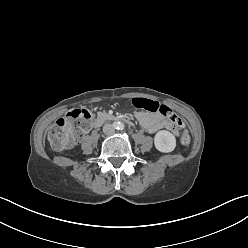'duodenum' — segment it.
<instances>
[{
  "label": "duodenum",
  "instance_id": "obj_1",
  "mask_svg": "<svg viewBox=\"0 0 248 248\" xmlns=\"http://www.w3.org/2000/svg\"><path fill=\"white\" fill-rule=\"evenodd\" d=\"M106 121H120L123 122L127 125H132L131 120H129L128 118L125 117H121V116H115V115H102L100 117H98L97 119H95L92 123L91 126L93 128H97L99 127L102 123L106 122Z\"/></svg>",
  "mask_w": 248,
  "mask_h": 248
}]
</instances>
